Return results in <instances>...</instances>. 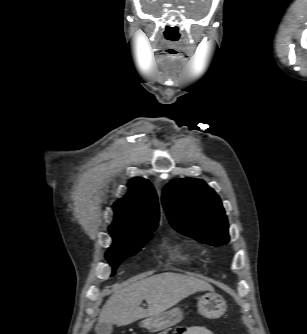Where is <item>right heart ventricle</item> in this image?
<instances>
[{
  "label": "right heart ventricle",
  "instance_id": "1",
  "mask_svg": "<svg viewBox=\"0 0 307 334\" xmlns=\"http://www.w3.org/2000/svg\"><path fill=\"white\" fill-rule=\"evenodd\" d=\"M174 257L186 264L194 263L197 260V254L188 247L175 248Z\"/></svg>",
  "mask_w": 307,
  "mask_h": 334
}]
</instances>
